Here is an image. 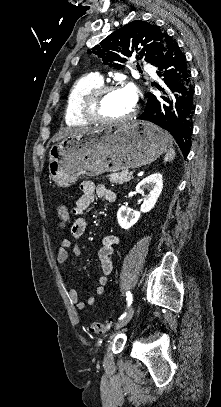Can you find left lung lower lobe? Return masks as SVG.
I'll return each instance as SVG.
<instances>
[{
    "label": "left lung lower lobe",
    "instance_id": "obj_1",
    "mask_svg": "<svg viewBox=\"0 0 221 407\" xmlns=\"http://www.w3.org/2000/svg\"><path fill=\"white\" fill-rule=\"evenodd\" d=\"M156 67L165 83L163 88L157 87L164 95L156 98L149 93L144 112L138 119L148 120L170 132L186 157L191 147L195 91L186 56L175 41L168 44Z\"/></svg>",
    "mask_w": 221,
    "mask_h": 407
}]
</instances>
